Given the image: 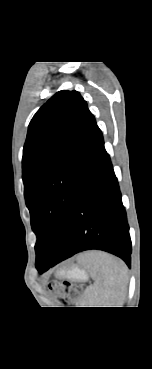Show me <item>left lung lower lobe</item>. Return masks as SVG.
Here are the masks:
<instances>
[{
  "label": "left lung lower lobe",
  "mask_w": 152,
  "mask_h": 369,
  "mask_svg": "<svg viewBox=\"0 0 152 369\" xmlns=\"http://www.w3.org/2000/svg\"><path fill=\"white\" fill-rule=\"evenodd\" d=\"M110 252L131 266V240L125 208L110 157L98 128L88 150L69 225L57 255L39 263L40 273L88 250Z\"/></svg>",
  "instance_id": "obj_1"
}]
</instances>
